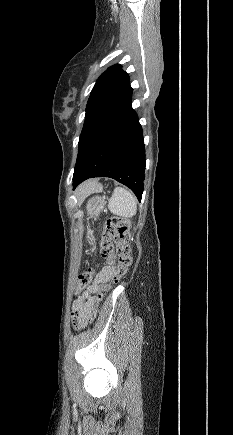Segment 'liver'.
<instances>
[{
  "mask_svg": "<svg viewBox=\"0 0 233 435\" xmlns=\"http://www.w3.org/2000/svg\"><path fill=\"white\" fill-rule=\"evenodd\" d=\"M101 189V185H99L97 183V181L95 180H90L86 183H84L78 190H77V194L79 195H85L89 192H93L96 190Z\"/></svg>",
  "mask_w": 233,
  "mask_h": 435,
  "instance_id": "6515ba94",
  "label": "liver"
}]
</instances>
